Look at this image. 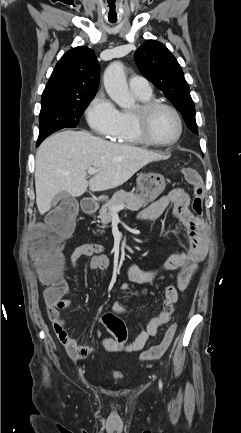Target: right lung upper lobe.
I'll return each instance as SVG.
<instances>
[{
  "label": "right lung upper lobe",
  "instance_id": "obj_1",
  "mask_svg": "<svg viewBox=\"0 0 241 433\" xmlns=\"http://www.w3.org/2000/svg\"><path fill=\"white\" fill-rule=\"evenodd\" d=\"M99 76L100 67L92 49L79 46L69 50L53 70L41 101L94 98Z\"/></svg>",
  "mask_w": 241,
  "mask_h": 433
}]
</instances>
